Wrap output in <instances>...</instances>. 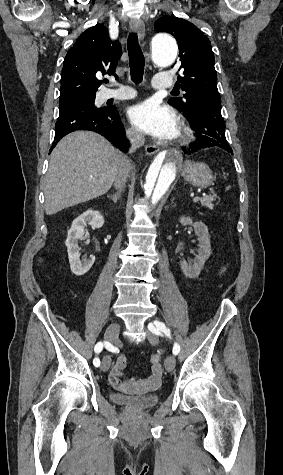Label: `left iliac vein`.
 Listing matches in <instances>:
<instances>
[{
	"instance_id": "1",
	"label": "left iliac vein",
	"mask_w": 283,
	"mask_h": 475,
	"mask_svg": "<svg viewBox=\"0 0 283 475\" xmlns=\"http://www.w3.org/2000/svg\"><path fill=\"white\" fill-rule=\"evenodd\" d=\"M147 338L149 340L150 343L152 344H157L158 343V336L156 334H154V332L152 333H148L147 334ZM164 365H165V369L167 372H173L175 370V366H176V359L173 355H170L168 357L165 358L164 360Z\"/></svg>"
}]
</instances>
